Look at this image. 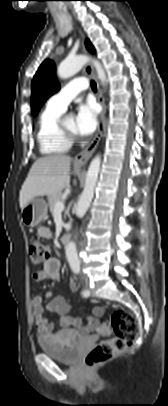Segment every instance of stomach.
I'll use <instances>...</instances> for the list:
<instances>
[{"mask_svg": "<svg viewBox=\"0 0 168 406\" xmlns=\"http://www.w3.org/2000/svg\"><path fill=\"white\" fill-rule=\"evenodd\" d=\"M46 215L47 204L45 200L35 197L21 210V221L25 226L34 227L38 225Z\"/></svg>", "mask_w": 168, "mask_h": 406, "instance_id": "0dacf381", "label": "stomach"}]
</instances>
